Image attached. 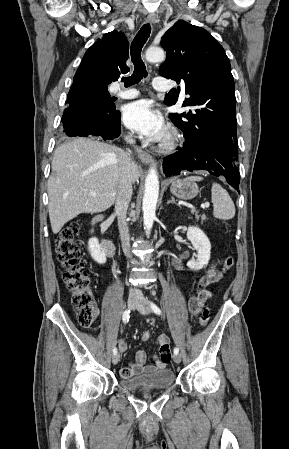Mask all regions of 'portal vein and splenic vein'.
Listing matches in <instances>:
<instances>
[{
    "mask_svg": "<svg viewBox=\"0 0 289 449\" xmlns=\"http://www.w3.org/2000/svg\"><path fill=\"white\" fill-rule=\"evenodd\" d=\"M90 194H91V195H95L96 192H95V191H91ZM201 206H202V208H208V207H209V203L206 202V203L202 204Z\"/></svg>",
    "mask_w": 289,
    "mask_h": 449,
    "instance_id": "obj_1",
    "label": "portal vein and splenic vein"
}]
</instances>
